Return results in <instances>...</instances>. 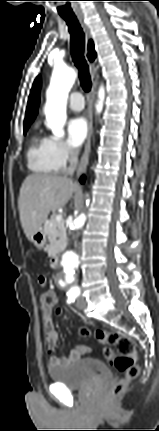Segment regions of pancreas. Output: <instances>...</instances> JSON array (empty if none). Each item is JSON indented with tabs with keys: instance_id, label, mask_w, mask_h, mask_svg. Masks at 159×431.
<instances>
[{
	"instance_id": "cf45deb5",
	"label": "pancreas",
	"mask_w": 159,
	"mask_h": 431,
	"mask_svg": "<svg viewBox=\"0 0 159 431\" xmlns=\"http://www.w3.org/2000/svg\"><path fill=\"white\" fill-rule=\"evenodd\" d=\"M55 217L56 216H52L44 225V232L48 236L50 242L46 247L49 257L55 256L57 253L61 252L67 240L64 221L57 222Z\"/></svg>"
}]
</instances>
